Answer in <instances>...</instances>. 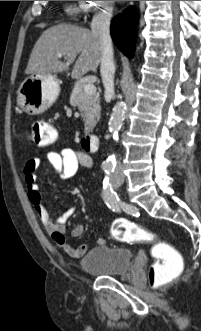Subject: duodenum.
<instances>
[{
	"instance_id": "obj_1",
	"label": "duodenum",
	"mask_w": 201,
	"mask_h": 331,
	"mask_svg": "<svg viewBox=\"0 0 201 331\" xmlns=\"http://www.w3.org/2000/svg\"><path fill=\"white\" fill-rule=\"evenodd\" d=\"M82 146L90 151H97L99 149V138L94 134H86L82 138Z\"/></svg>"
}]
</instances>
